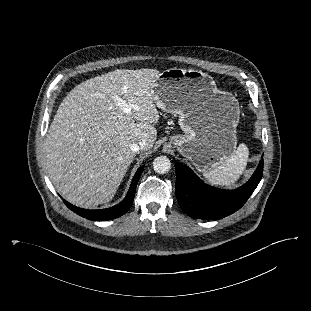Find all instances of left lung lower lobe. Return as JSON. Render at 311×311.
Returning <instances> with one entry per match:
<instances>
[{"label":"left lung lower lobe","instance_id":"left-lung-lower-lobe-1","mask_svg":"<svg viewBox=\"0 0 311 311\" xmlns=\"http://www.w3.org/2000/svg\"><path fill=\"white\" fill-rule=\"evenodd\" d=\"M175 167L176 197L182 210L193 218L212 220L226 217L244 205L261 180L263 160L246 184L231 191L204 184L186 165Z\"/></svg>","mask_w":311,"mask_h":311}]
</instances>
